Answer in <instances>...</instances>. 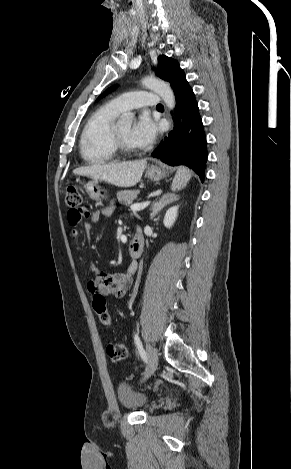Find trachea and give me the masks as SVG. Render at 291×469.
<instances>
[{
  "label": "trachea",
  "mask_w": 291,
  "mask_h": 469,
  "mask_svg": "<svg viewBox=\"0 0 291 469\" xmlns=\"http://www.w3.org/2000/svg\"><path fill=\"white\" fill-rule=\"evenodd\" d=\"M162 107H163L162 104H158V105H157V108H162Z\"/></svg>",
  "instance_id": "trachea-1"
}]
</instances>
